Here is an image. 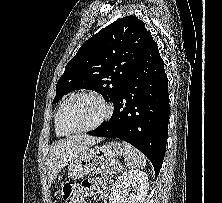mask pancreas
Instances as JSON below:
<instances>
[{"mask_svg": "<svg viewBox=\"0 0 222 203\" xmlns=\"http://www.w3.org/2000/svg\"><path fill=\"white\" fill-rule=\"evenodd\" d=\"M117 166L118 162L116 160L105 161L97 169H95L93 174H99L104 177H107L108 175L113 176L115 174Z\"/></svg>", "mask_w": 222, "mask_h": 203, "instance_id": "1", "label": "pancreas"}]
</instances>
